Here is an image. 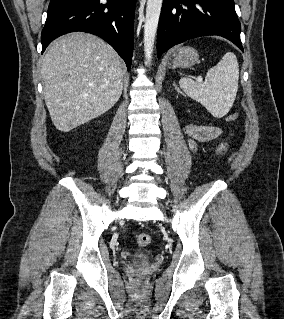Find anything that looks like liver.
Masks as SVG:
<instances>
[{
  "mask_svg": "<svg viewBox=\"0 0 284 319\" xmlns=\"http://www.w3.org/2000/svg\"><path fill=\"white\" fill-rule=\"evenodd\" d=\"M42 76L45 103L61 132L104 114L123 89L116 51L101 38L82 32L64 35L49 45Z\"/></svg>",
  "mask_w": 284,
  "mask_h": 319,
  "instance_id": "obj_1",
  "label": "liver"
}]
</instances>
